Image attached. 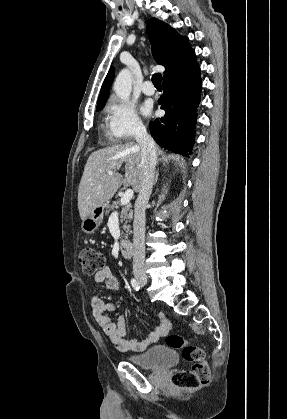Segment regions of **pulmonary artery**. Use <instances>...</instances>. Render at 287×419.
Returning <instances> with one entry per match:
<instances>
[{"mask_svg": "<svg viewBox=\"0 0 287 419\" xmlns=\"http://www.w3.org/2000/svg\"><path fill=\"white\" fill-rule=\"evenodd\" d=\"M141 90L146 95H153L155 92V89L150 81H145L141 86Z\"/></svg>", "mask_w": 287, "mask_h": 419, "instance_id": "e3ab8cb5", "label": "pulmonary artery"}]
</instances>
